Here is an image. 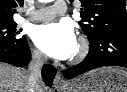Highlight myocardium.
Wrapping results in <instances>:
<instances>
[{
    "label": "myocardium",
    "mask_w": 127,
    "mask_h": 92,
    "mask_svg": "<svg viewBox=\"0 0 127 92\" xmlns=\"http://www.w3.org/2000/svg\"><path fill=\"white\" fill-rule=\"evenodd\" d=\"M89 50V43L85 38H80L78 41L77 49L74 56L71 59L72 63L81 61Z\"/></svg>",
    "instance_id": "obj_1"
}]
</instances>
